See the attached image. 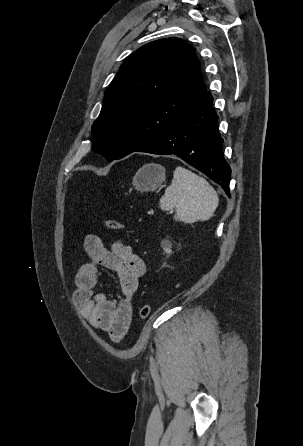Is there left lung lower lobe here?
I'll return each instance as SVG.
<instances>
[{
    "mask_svg": "<svg viewBox=\"0 0 303 446\" xmlns=\"http://www.w3.org/2000/svg\"><path fill=\"white\" fill-rule=\"evenodd\" d=\"M212 99L211 93L205 90L165 135L136 152L177 155L213 179L230 196L231 169L223 156V139Z\"/></svg>",
    "mask_w": 303,
    "mask_h": 446,
    "instance_id": "obj_1",
    "label": "left lung lower lobe"
}]
</instances>
